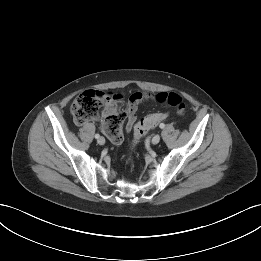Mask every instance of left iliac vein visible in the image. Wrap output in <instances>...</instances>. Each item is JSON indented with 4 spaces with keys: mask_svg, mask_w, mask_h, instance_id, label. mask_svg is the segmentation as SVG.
Returning a JSON list of instances; mask_svg holds the SVG:
<instances>
[{
    "mask_svg": "<svg viewBox=\"0 0 261 261\" xmlns=\"http://www.w3.org/2000/svg\"><path fill=\"white\" fill-rule=\"evenodd\" d=\"M151 142L152 144H158L160 142V136L159 135L153 136Z\"/></svg>",
    "mask_w": 261,
    "mask_h": 261,
    "instance_id": "left-iliac-vein-1",
    "label": "left iliac vein"
}]
</instances>
